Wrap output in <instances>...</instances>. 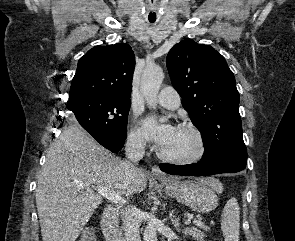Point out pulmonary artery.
Instances as JSON below:
<instances>
[{
    "mask_svg": "<svg viewBox=\"0 0 295 241\" xmlns=\"http://www.w3.org/2000/svg\"><path fill=\"white\" fill-rule=\"evenodd\" d=\"M156 101L167 109L175 110L180 106L181 98L174 88L164 87L157 95Z\"/></svg>",
    "mask_w": 295,
    "mask_h": 241,
    "instance_id": "e3ab8cb5",
    "label": "pulmonary artery"
}]
</instances>
